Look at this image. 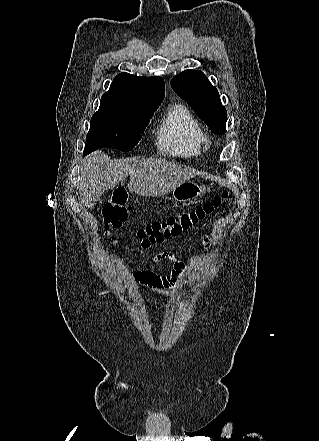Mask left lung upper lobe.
Instances as JSON below:
<instances>
[{
	"mask_svg": "<svg viewBox=\"0 0 319 441\" xmlns=\"http://www.w3.org/2000/svg\"><path fill=\"white\" fill-rule=\"evenodd\" d=\"M171 86L213 133L224 134L226 132V109L221 104L217 89L201 71H183L173 77Z\"/></svg>",
	"mask_w": 319,
	"mask_h": 441,
	"instance_id": "1",
	"label": "left lung upper lobe"
}]
</instances>
